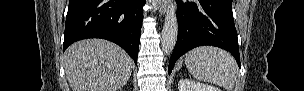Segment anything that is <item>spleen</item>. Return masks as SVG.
Returning <instances> with one entry per match:
<instances>
[{
  "instance_id": "3e777b00",
  "label": "spleen",
  "mask_w": 304,
  "mask_h": 91,
  "mask_svg": "<svg viewBox=\"0 0 304 91\" xmlns=\"http://www.w3.org/2000/svg\"><path fill=\"white\" fill-rule=\"evenodd\" d=\"M185 64L192 76L198 80L222 86L232 91L238 67L232 55L219 48L198 47L185 56Z\"/></svg>"
}]
</instances>
